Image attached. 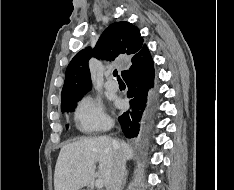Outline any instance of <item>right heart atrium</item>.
<instances>
[{
    "label": "right heart atrium",
    "instance_id": "1",
    "mask_svg": "<svg viewBox=\"0 0 234 190\" xmlns=\"http://www.w3.org/2000/svg\"><path fill=\"white\" fill-rule=\"evenodd\" d=\"M74 121L79 130L88 133L105 131L111 123L101 103L90 96H84L76 104Z\"/></svg>",
    "mask_w": 234,
    "mask_h": 190
}]
</instances>
